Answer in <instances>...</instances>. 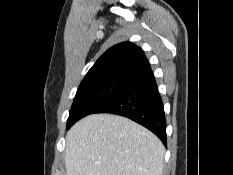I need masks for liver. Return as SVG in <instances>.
Here are the masks:
<instances>
[{
    "label": "liver",
    "mask_w": 233,
    "mask_h": 175,
    "mask_svg": "<svg viewBox=\"0 0 233 175\" xmlns=\"http://www.w3.org/2000/svg\"><path fill=\"white\" fill-rule=\"evenodd\" d=\"M165 147L134 121L92 114L66 135V175H162Z\"/></svg>",
    "instance_id": "6515ba94"
}]
</instances>
